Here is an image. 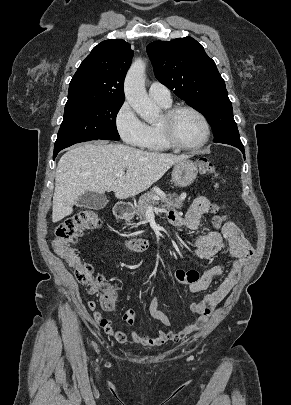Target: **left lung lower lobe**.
Listing matches in <instances>:
<instances>
[{
  "mask_svg": "<svg viewBox=\"0 0 291 405\" xmlns=\"http://www.w3.org/2000/svg\"><path fill=\"white\" fill-rule=\"evenodd\" d=\"M232 146H234V147L240 149V150L242 151V153L244 154V147H243V145H232ZM244 156H245V154H244Z\"/></svg>",
  "mask_w": 291,
  "mask_h": 405,
  "instance_id": "0a47b994",
  "label": "left lung lower lobe"
}]
</instances>
